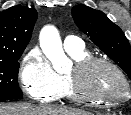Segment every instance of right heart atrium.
<instances>
[{"mask_svg": "<svg viewBox=\"0 0 131 115\" xmlns=\"http://www.w3.org/2000/svg\"><path fill=\"white\" fill-rule=\"evenodd\" d=\"M19 80L23 91L39 102L53 101L62 89L60 76L36 47L24 55L20 64Z\"/></svg>", "mask_w": 131, "mask_h": 115, "instance_id": "1", "label": "right heart atrium"}]
</instances>
